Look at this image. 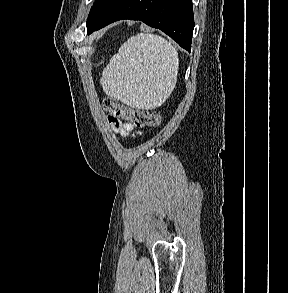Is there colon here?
Masks as SVG:
<instances>
[{"label":"colon","instance_id":"obj_1","mask_svg":"<svg viewBox=\"0 0 288 293\" xmlns=\"http://www.w3.org/2000/svg\"><path fill=\"white\" fill-rule=\"evenodd\" d=\"M103 104L104 108L110 112L111 117L129 121L136 128L156 127L162 121V116L158 111L132 109L118 103L112 97H106Z\"/></svg>","mask_w":288,"mask_h":293}]
</instances>
